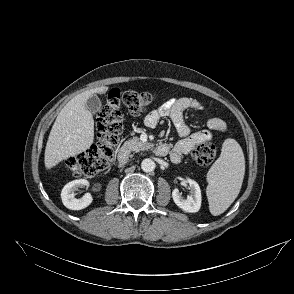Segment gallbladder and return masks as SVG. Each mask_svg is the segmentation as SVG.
Returning <instances> with one entry per match:
<instances>
[{
  "label": "gallbladder",
  "instance_id": "1",
  "mask_svg": "<svg viewBox=\"0 0 294 294\" xmlns=\"http://www.w3.org/2000/svg\"><path fill=\"white\" fill-rule=\"evenodd\" d=\"M86 108L91 113L98 112L100 110V108H101V100H100V98L95 94L91 95L86 101Z\"/></svg>",
  "mask_w": 294,
  "mask_h": 294
}]
</instances>
